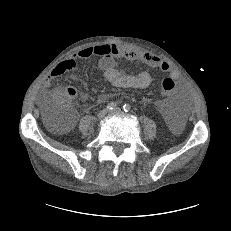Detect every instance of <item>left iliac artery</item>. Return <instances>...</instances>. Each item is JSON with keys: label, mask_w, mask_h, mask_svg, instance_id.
I'll use <instances>...</instances> for the list:
<instances>
[{"label": "left iliac artery", "mask_w": 231, "mask_h": 231, "mask_svg": "<svg viewBox=\"0 0 231 231\" xmlns=\"http://www.w3.org/2000/svg\"><path fill=\"white\" fill-rule=\"evenodd\" d=\"M130 108H131V106H130L129 104H125V105L123 106V110H124L125 112H128V111L130 110Z\"/></svg>", "instance_id": "1"}]
</instances>
